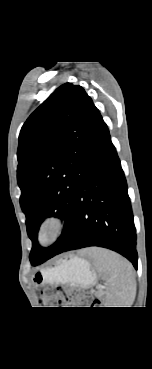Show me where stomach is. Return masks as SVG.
Listing matches in <instances>:
<instances>
[{
    "mask_svg": "<svg viewBox=\"0 0 152 369\" xmlns=\"http://www.w3.org/2000/svg\"><path fill=\"white\" fill-rule=\"evenodd\" d=\"M96 280L97 275L90 263L77 257L62 260L54 268L37 272L33 276V281L38 287L51 282H59L87 288L94 285Z\"/></svg>",
    "mask_w": 152,
    "mask_h": 369,
    "instance_id": "stomach-1",
    "label": "stomach"
}]
</instances>
